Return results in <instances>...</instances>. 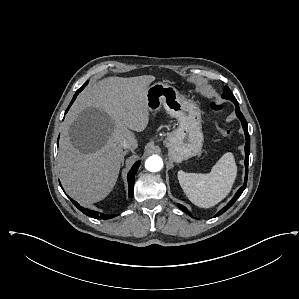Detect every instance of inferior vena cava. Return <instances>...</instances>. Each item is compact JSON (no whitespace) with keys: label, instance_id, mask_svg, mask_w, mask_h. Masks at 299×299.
I'll return each instance as SVG.
<instances>
[{"label":"inferior vena cava","instance_id":"obj_1","mask_svg":"<svg viewBox=\"0 0 299 299\" xmlns=\"http://www.w3.org/2000/svg\"><path fill=\"white\" fill-rule=\"evenodd\" d=\"M122 146L124 149L134 150L137 148L138 143L134 136H130L123 140Z\"/></svg>","mask_w":299,"mask_h":299}]
</instances>
